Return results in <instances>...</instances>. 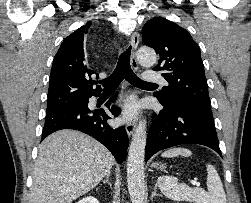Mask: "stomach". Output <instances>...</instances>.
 <instances>
[{"label": "stomach", "instance_id": "stomach-1", "mask_svg": "<svg viewBox=\"0 0 251 203\" xmlns=\"http://www.w3.org/2000/svg\"><path fill=\"white\" fill-rule=\"evenodd\" d=\"M152 166L155 167V168H159V169H163L164 168V165H160L158 163H154V164H152Z\"/></svg>", "mask_w": 251, "mask_h": 203}]
</instances>
